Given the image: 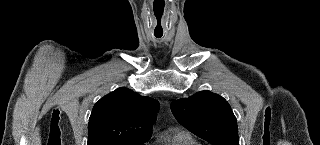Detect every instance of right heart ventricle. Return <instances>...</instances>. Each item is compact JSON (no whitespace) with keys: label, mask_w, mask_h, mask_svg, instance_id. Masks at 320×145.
<instances>
[{"label":"right heart ventricle","mask_w":320,"mask_h":145,"mask_svg":"<svg viewBox=\"0 0 320 145\" xmlns=\"http://www.w3.org/2000/svg\"><path fill=\"white\" fill-rule=\"evenodd\" d=\"M163 145H200V143L189 132L178 130L174 131Z\"/></svg>","instance_id":"obj_1"}]
</instances>
